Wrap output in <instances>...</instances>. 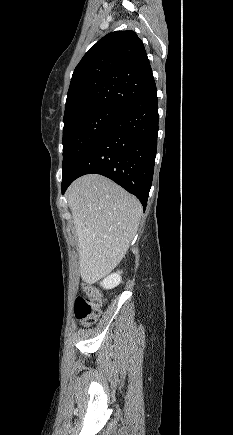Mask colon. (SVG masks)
<instances>
[{
    "mask_svg": "<svg viewBox=\"0 0 233 435\" xmlns=\"http://www.w3.org/2000/svg\"><path fill=\"white\" fill-rule=\"evenodd\" d=\"M104 300L99 291L92 285L83 288L82 295L75 300V317L85 325H91L101 315Z\"/></svg>",
    "mask_w": 233,
    "mask_h": 435,
    "instance_id": "5ec220e1",
    "label": "colon"
}]
</instances>
